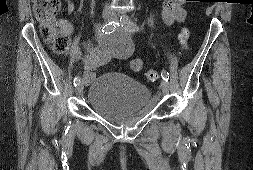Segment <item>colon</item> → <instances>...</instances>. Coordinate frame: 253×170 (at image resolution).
I'll return each mask as SVG.
<instances>
[{
	"label": "colon",
	"instance_id": "1",
	"mask_svg": "<svg viewBox=\"0 0 253 170\" xmlns=\"http://www.w3.org/2000/svg\"><path fill=\"white\" fill-rule=\"evenodd\" d=\"M194 1V0H187ZM60 0H33V11L40 24V31L43 39L48 42L53 51L57 54H65L70 47L69 36L58 27L56 16L60 11ZM190 30L187 27L181 29L179 39L184 48L187 47ZM147 80L158 81L160 74L158 71L149 70L146 73Z\"/></svg>",
	"mask_w": 253,
	"mask_h": 170
}]
</instances>
